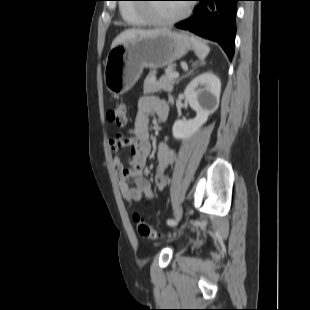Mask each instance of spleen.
Masks as SVG:
<instances>
[{"label": "spleen", "mask_w": 310, "mask_h": 310, "mask_svg": "<svg viewBox=\"0 0 310 310\" xmlns=\"http://www.w3.org/2000/svg\"><path fill=\"white\" fill-rule=\"evenodd\" d=\"M191 39L196 55L199 57L200 60H204L210 52V48L204 42L200 41L197 38L191 37Z\"/></svg>", "instance_id": "3e777b00"}]
</instances>
